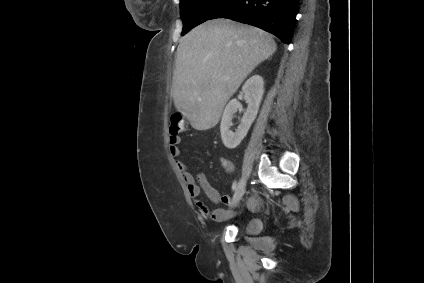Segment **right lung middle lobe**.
I'll use <instances>...</instances> for the list:
<instances>
[{"mask_svg":"<svg viewBox=\"0 0 424 283\" xmlns=\"http://www.w3.org/2000/svg\"><path fill=\"white\" fill-rule=\"evenodd\" d=\"M226 2L228 0H180V12L183 21L181 35L209 20Z\"/></svg>","mask_w":424,"mask_h":283,"instance_id":"right-lung-middle-lobe-1","label":"right lung middle lobe"}]
</instances>
